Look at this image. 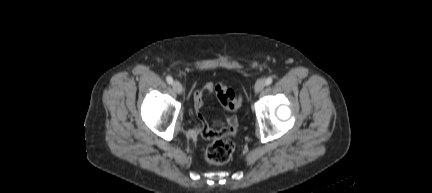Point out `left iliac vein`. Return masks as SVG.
Segmentation results:
<instances>
[{"instance_id":"1","label":"left iliac vein","mask_w":432,"mask_h":193,"mask_svg":"<svg viewBox=\"0 0 432 193\" xmlns=\"http://www.w3.org/2000/svg\"><path fill=\"white\" fill-rule=\"evenodd\" d=\"M265 85H266V84H265V81H264L263 79L258 80V81L256 82V84H255V88H254L255 93H259V92H261V91L264 89Z\"/></svg>"}]
</instances>
